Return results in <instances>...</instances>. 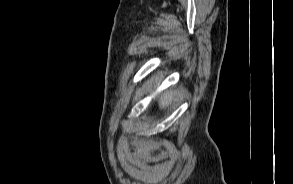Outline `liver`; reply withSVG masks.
I'll return each instance as SVG.
<instances>
[{
	"mask_svg": "<svg viewBox=\"0 0 293 184\" xmlns=\"http://www.w3.org/2000/svg\"><path fill=\"white\" fill-rule=\"evenodd\" d=\"M175 91H166L164 92L161 97L159 98V106L160 108L167 107L172 101L175 100L176 97Z\"/></svg>",
	"mask_w": 293,
	"mask_h": 184,
	"instance_id": "obj_1",
	"label": "liver"
}]
</instances>
